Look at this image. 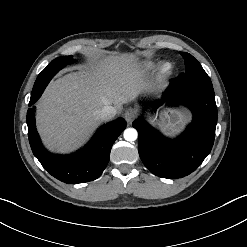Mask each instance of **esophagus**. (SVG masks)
<instances>
[{"mask_svg": "<svg viewBox=\"0 0 247 247\" xmlns=\"http://www.w3.org/2000/svg\"><path fill=\"white\" fill-rule=\"evenodd\" d=\"M136 116V111L133 108H128L125 111L124 117L127 122H131Z\"/></svg>", "mask_w": 247, "mask_h": 247, "instance_id": "obj_1", "label": "esophagus"}]
</instances>
